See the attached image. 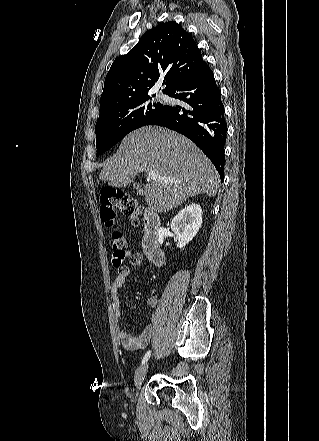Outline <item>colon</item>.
Here are the masks:
<instances>
[{
    "mask_svg": "<svg viewBox=\"0 0 319 441\" xmlns=\"http://www.w3.org/2000/svg\"><path fill=\"white\" fill-rule=\"evenodd\" d=\"M100 202V218L107 227L114 226L116 209L130 217L134 224H139L140 212L137 203L127 193L116 189H107L102 191ZM110 246L113 251V264L120 265L127 254V240L121 231H112Z\"/></svg>",
    "mask_w": 319,
    "mask_h": 441,
    "instance_id": "1",
    "label": "colon"
}]
</instances>
